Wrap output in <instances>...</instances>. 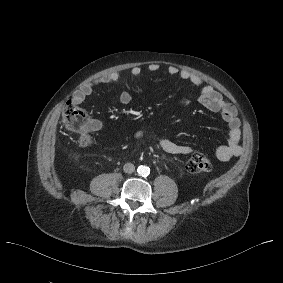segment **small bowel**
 <instances>
[{
	"instance_id": "c3829d8e",
	"label": "small bowel",
	"mask_w": 283,
	"mask_h": 283,
	"mask_svg": "<svg viewBox=\"0 0 283 283\" xmlns=\"http://www.w3.org/2000/svg\"><path fill=\"white\" fill-rule=\"evenodd\" d=\"M158 69L159 66L154 63L148 65L146 68L134 67L131 69L130 75L140 77L146 72H155ZM168 74L171 76H178L182 80L190 82L196 87H200L198 102L206 109L220 113L222 119L226 122L229 129L228 141L225 145H221L215 150L216 157L221 161H228L233 157L239 156L242 153V147L240 145L241 124L235 105L226 100L224 96L211 85H204L201 77L194 73L171 66L168 68ZM120 78L121 75L119 72H113L90 81L74 93L71 101L76 105L81 104L93 93L96 86L100 84L117 85ZM119 101L123 105H128L133 101V94L127 90L123 91L119 96ZM100 127L101 125L97 120H93L90 123V129L92 131H97ZM143 136V131H137L134 134V138L137 140L141 139ZM158 143L161 149L166 153L188 155L194 152L192 147L178 144L166 137L158 138Z\"/></svg>"
}]
</instances>
